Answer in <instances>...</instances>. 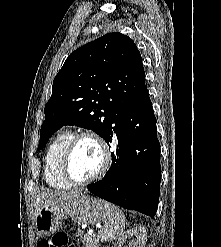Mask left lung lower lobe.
Here are the masks:
<instances>
[{
	"label": "left lung lower lobe",
	"mask_w": 221,
	"mask_h": 247,
	"mask_svg": "<svg viewBox=\"0 0 221 247\" xmlns=\"http://www.w3.org/2000/svg\"><path fill=\"white\" fill-rule=\"evenodd\" d=\"M117 138L112 165L101 181L88 185L96 196L154 217L161 180L160 145L150 98L120 109L105 141Z\"/></svg>",
	"instance_id": "left-lung-lower-lobe-1"
}]
</instances>
